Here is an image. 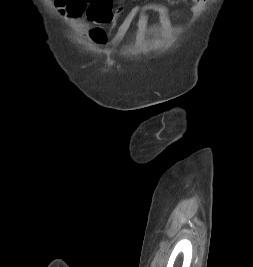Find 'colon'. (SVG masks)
<instances>
[{
  "label": "colon",
  "mask_w": 253,
  "mask_h": 267,
  "mask_svg": "<svg viewBox=\"0 0 253 267\" xmlns=\"http://www.w3.org/2000/svg\"><path fill=\"white\" fill-rule=\"evenodd\" d=\"M56 4L60 7L67 5L69 0H55ZM90 36L92 40L97 44H104L107 41V34L105 30L100 26H94L90 30Z\"/></svg>",
  "instance_id": "5ec220e1"
}]
</instances>
